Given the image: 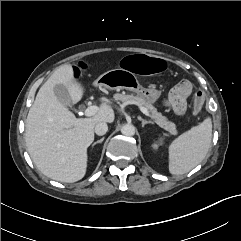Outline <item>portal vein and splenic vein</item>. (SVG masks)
I'll list each match as a JSON object with an SVG mask.
<instances>
[{"mask_svg": "<svg viewBox=\"0 0 241 241\" xmlns=\"http://www.w3.org/2000/svg\"><path fill=\"white\" fill-rule=\"evenodd\" d=\"M99 108L97 106H90L85 110V116L90 117L95 115L98 112ZM140 110L143 114H145L146 116H150L149 111L145 108V107H140Z\"/></svg>", "mask_w": 241, "mask_h": 241, "instance_id": "obj_1", "label": "portal vein and splenic vein"}]
</instances>
